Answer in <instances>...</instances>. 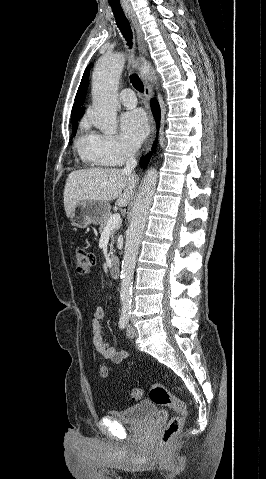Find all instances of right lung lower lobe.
<instances>
[{"label":"right lung lower lobe","mask_w":266,"mask_h":479,"mask_svg":"<svg viewBox=\"0 0 266 479\" xmlns=\"http://www.w3.org/2000/svg\"><path fill=\"white\" fill-rule=\"evenodd\" d=\"M151 110L153 112V115L156 119V122H157V133H158V129H159V122H160V107H159V104L158 102L155 100V99H152L151 100ZM156 143H157V137H156V140H155V143L153 145V148H152V151L155 150L156 148ZM151 154H148L141 162H140V165L142 168H146L148 162H149V159L151 157Z\"/></svg>","instance_id":"1"}]
</instances>
